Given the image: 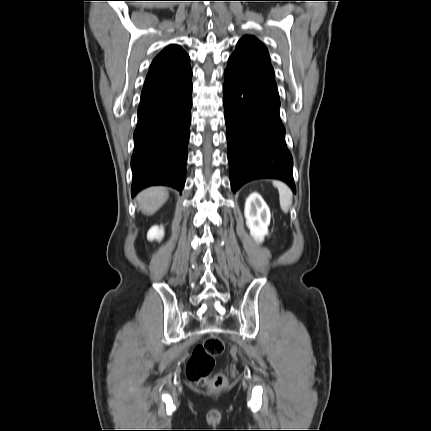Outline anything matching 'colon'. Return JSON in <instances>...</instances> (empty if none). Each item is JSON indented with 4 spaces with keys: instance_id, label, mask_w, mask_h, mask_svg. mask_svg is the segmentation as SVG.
<instances>
[{
    "instance_id": "5ec220e1",
    "label": "colon",
    "mask_w": 431,
    "mask_h": 431,
    "mask_svg": "<svg viewBox=\"0 0 431 431\" xmlns=\"http://www.w3.org/2000/svg\"><path fill=\"white\" fill-rule=\"evenodd\" d=\"M224 351L222 339L211 335L198 344L186 365V375L189 380L199 386L208 385L212 391L221 390L226 384V378L221 373L213 374L215 359Z\"/></svg>"
}]
</instances>
